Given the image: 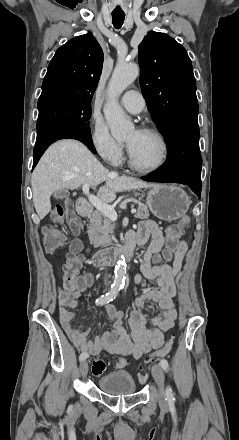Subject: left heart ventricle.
<instances>
[{
  "instance_id": "b2bd125f",
  "label": "left heart ventricle",
  "mask_w": 239,
  "mask_h": 440,
  "mask_svg": "<svg viewBox=\"0 0 239 440\" xmlns=\"http://www.w3.org/2000/svg\"><path fill=\"white\" fill-rule=\"evenodd\" d=\"M126 142L139 166L152 168L160 162L162 146L154 135L133 131L127 136Z\"/></svg>"
}]
</instances>
